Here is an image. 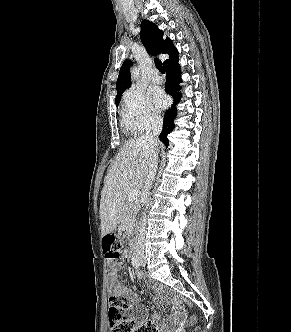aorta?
<instances>
[{
    "label": "aorta",
    "mask_w": 291,
    "mask_h": 332,
    "mask_svg": "<svg viewBox=\"0 0 291 332\" xmlns=\"http://www.w3.org/2000/svg\"><path fill=\"white\" fill-rule=\"evenodd\" d=\"M131 77H132V79L138 78L139 77V70L136 69V68L132 69V71H131Z\"/></svg>",
    "instance_id": "1"
}]
</instances>
